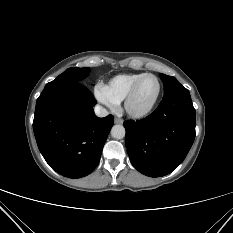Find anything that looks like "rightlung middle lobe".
Masks as SVG:
<instances>
[{
  "instance_id": "obj_1",
  "label": "right lung middle lobe",
  "mask_w": 233,
  "mask_h": 233,
  "mask_svg": "<svg viewBox=\"0 0 233 233\" xmlns=\"http://www.w3.org/2000/svg\"><path fill=\"white\" fill-rule=\"evenodd\" d=\"M90 73V68H68L60 74L55 80L46 84V86L66 84L71 82H80Z\"/></svg>"
}]
</instances>
